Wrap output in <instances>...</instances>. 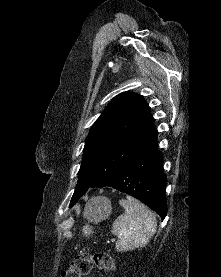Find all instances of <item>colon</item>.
Masks as SVG:
<instances>
[{"instance_id":"1","label":"colon","mask_w":221,"mask_h":277,"mask_svg":"<svg viewBox=\"0 0 221 277\" xmlns=\"http://www.w3.org/2000/svg\"><path fill=\"white\" fill-rule=\"evenodd\" d=\"M94 267L112 271L115 269V263L105 252L81 253L72 259L69 268L62 272V277H83Z\"/></svg>"}]
</instances>
